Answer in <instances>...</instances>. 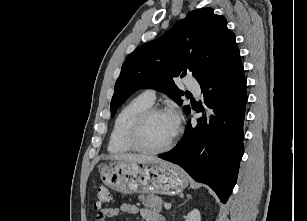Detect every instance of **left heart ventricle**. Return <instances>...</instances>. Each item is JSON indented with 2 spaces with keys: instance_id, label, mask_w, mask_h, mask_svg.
I'll use <instances>...</instances> for the list:
<instances>
[{
  "instance_id": "left-heart-ventricle-1",
  "label": "left heart ventricle",
  "mask_w": 307,
  "mask_h": 221,
  "mask_svg": "<svg viewBox=\"0 0 307 221\" xmlns=\"http://www.w3.org/2000/svg\"><path fill=\"white\" fill-rule=\"evenodd\" d=\"M175 131L169 114H156L146 122L140 140L148 148H159L169 141Z\"/></svg>"
}]
</instances>
